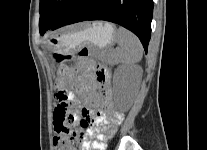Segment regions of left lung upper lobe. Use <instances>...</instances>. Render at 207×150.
<instances>
[{"mask_svg":"<svg viewBox=\"0 0 207 150\" xmlns=\"http://www.w3.org/2000/svg\"><path fill=\"white\" fill-rule=\"evenodd\" d=\"M75 1L67 0L65 3L56 4V0H40V34L43 35L48 29H51Z\"/></svg>","mask_w":207,"mask_h":150,"instance_id":"5c2ea615","label":"left lung upper lobe"}]
</instances>
